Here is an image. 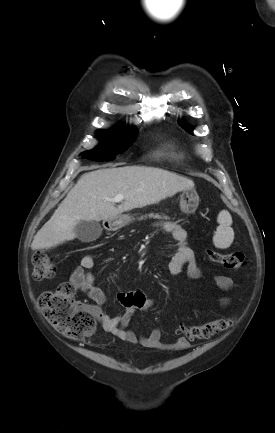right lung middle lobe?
<instances>
[{
	"instance_id": "dd1d6c3e",
	"label": "right lung middle lobe",
	"mask_w": 275,
	"mask_h": 433,
	"mask_svg": "<svg viewBox=\"0 0 275 433\" xmlns=\"http://www.w3.org/2000/svg\"><path fill=\"white\" fill-rule=\"evenodd\" d=\"M101 144L95 149L84 152V158L93 161H111L124 146L131 143L136 137V132L132 128H118L111 134L99 133Z\"/></svg>"
}]
</instances>
